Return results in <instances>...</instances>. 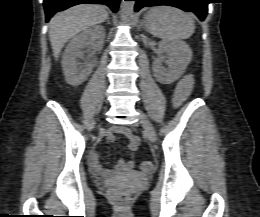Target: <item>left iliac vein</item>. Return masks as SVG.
<instances>
[{
	"label": "left iliac vein",
	"mask_w": 260,
	"mask_h": 217,
	"mask_svg": "<svg viewBox=\"0 0 260 217\" xmlns=\"http://www.w3.org/2000/svg\"><path fill=\"white\" fill-rule=\"evenodd\" d=\"M139 124L144 128L150 142L155 143L157 140L155 129L147 116L142 112H139Z\"/></svg>",
	"instance_id": "obj_1"
}]
</instances>
